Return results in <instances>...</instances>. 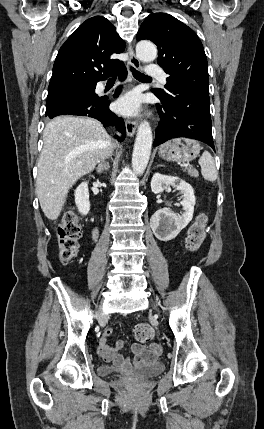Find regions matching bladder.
Returning a JSON list of instances; mask_svg holds the SVG:
<instances>
[{
	"label": "bladder",
	"mask_w": 264,
	"mask_h": 429,
	"mask_svg": "<svg viewBox=\"0 0 264 429\" xmlns=\"http://www.w3.org/2000/svg\"><path fill=\"white\" fill-rule=\"evenodd\" d=\"M164 368L163 363L155 361L153 363L137 367L132 372V375L138 379H149L162 373ZM100 374L104 376L112 375L115 374V370L110 366H102L100 368Z\"/></svg>",
	"instance_id": "31cf9c89"
}]
</instances>
